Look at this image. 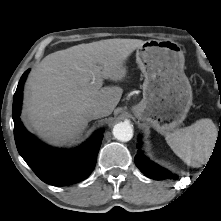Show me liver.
I'll list each match as a JSON object with an SVG mask.
<instances>
[{
    "instance_id": "liver-1",
    "label": "liver",
    "mask_w": 221,
    "mask_h": 221,
    "mask_svg": "<svg viewBox=\"0 0 221 221\" xmlns=\"http://www.w3.org/2000/svg\"><path fill=\"white\" fill-rule=\"evenodd\" d=\"M144 42L106 39L47 55L26 83L25 124L54 145L78 138L90 121L88 108L100 107L103 112L99 118L106 117L121 99V87L101 88L98 80H122L127 73L126 60Z\"/></svg>"
}]
</instances>
